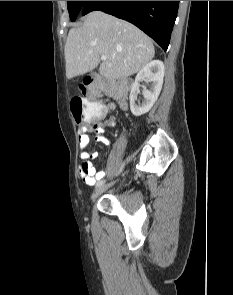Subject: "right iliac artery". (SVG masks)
<instances>
[{"label": "right iliac artery", "mask_w": 233, "mask_h": 295, "mask_svg": "<svg viewBox=\"0 0 233 295\" xmlns=\"http://www.w3.org/2000/svg\"><path fill=\"white\" fill-rule=\"evenodd\" d=\"M122 168H123V165L121 166L120 171L122 170ZM98 179H101V177H98Z\"/></svg>", "instance_id": "right-iliac-artery-1"}]
</instances>
